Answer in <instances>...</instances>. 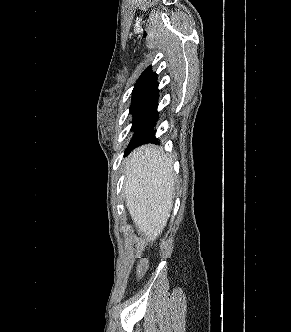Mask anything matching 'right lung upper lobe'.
<instances>
[{"mask_svg":"<svg viewBox=\"0 0 291 332\" xmlns=\"http://www.w3.org/2000/svg\"><path fill=\"white\" fill-rule=\"evenodd\" d=\"M157 74L152 72L151 66L145 69L141 74L133 89V98L146 97L148 98L153 93L158 91Z\"/></svg>","mask_w":291,"mask_h":332,"instance_id":"obj_1","label":"right lung upper lobe"}]
</instances>
